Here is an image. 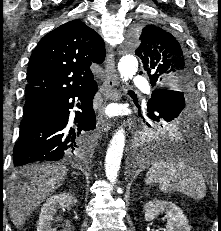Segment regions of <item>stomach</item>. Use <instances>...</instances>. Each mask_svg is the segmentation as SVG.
<instances>
[{
	"mask_svg": "<svg viewBox=\"0 0 221 231\" xmlns=\"http://www.w3.org/2000/svg\"><path fill=\"white\" fill-rule=\"evenodd\" d=\"M172 129H173V130H176V129H178V128L174 126V127H172Z\"/></svg>",
	"mask_w": 221,
	"mask_h": 231,
	"instance_id": "1",
	"label": "stomach"
}]
</instances>
